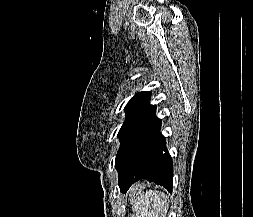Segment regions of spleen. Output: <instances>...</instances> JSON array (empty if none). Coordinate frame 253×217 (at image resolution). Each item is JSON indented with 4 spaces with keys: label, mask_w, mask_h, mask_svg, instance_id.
<instances>
[{
    "label": "spleen",
    "mask_w": 253,
    "mask_h": 217,
    "mask_svg": "<svg viewBox=\"0 0 253 217\" xmlns=\"http://www.w3.org/2000/svg\"><path fill=\"white\" fill-rule=\"evenodd\" d=\"M133 205L132 217H166L168 212V198L161 191H146L135 197L130 195Z\"/></svg>",
    "instance_id": "spleen-1"
}]
</instances>
